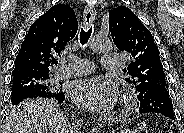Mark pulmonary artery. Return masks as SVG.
I'll use <instances>...</instances> for the list:
<instances>
[{"mask_svg":"<svg viewBox=\"0 0 184 133\" xmlns=\"http://www.w3.org/2000/svg\"><path fill=\"white\" fill-rule=\"evenodd\" d=\"M69 64L59 67L55 72L56 79H65L69 77L88 74L94 70L93 63L87 59L77 58L73 55L67 57ZM124 57L118 54H107L102 58V68L105 70H116L120 67Z\"/></svg>","mask_w":184,"mask_h":133,"instance_id":"obj_1","label":"pulmonary artery"}]
</instances>
